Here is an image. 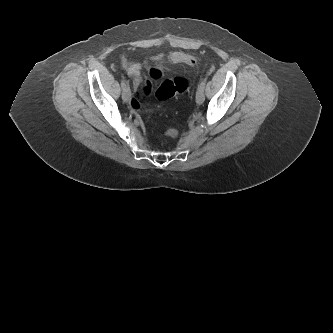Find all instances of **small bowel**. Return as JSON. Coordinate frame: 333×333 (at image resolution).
<instances>
[{
    "label": "small bowel",
    "instance_id": "c3829d8e",
    "mask_svg": "<svg viewBox=\"0 0 333 333\" xmlns=\"http://www.w3.org/2000/svg\"><path fill=\"white\" fill-rule=\"evenodd\" d=\"M122 67L126 70L127 74L132 78V84L134 88L140 86L143 82V77L141 76V70L143 68L147 69L146 75L148 79L152 81L160 82L164 80L166 73L164 69L167 68L169 63H186L194 64L195 59L189 54L183 52H170V53H157L148 57L142 63H129L125 59H122ZM151 63L155 65H151ZM143 93L147 94L145 87L143 88ZM140 94L136 93L134 102L138 106V98Z\"/></svg>",
    "mask_w": 333,
    "mask_h": 333
}]
</instances>
